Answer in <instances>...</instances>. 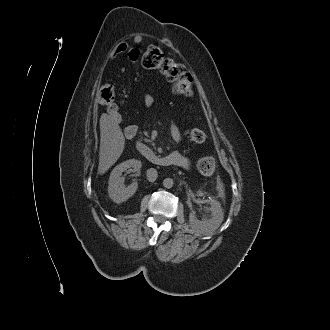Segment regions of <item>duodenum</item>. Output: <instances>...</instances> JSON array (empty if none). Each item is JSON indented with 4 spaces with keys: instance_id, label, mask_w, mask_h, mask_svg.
Listing matches in <instances>:
<instances>
[{
    "instance_id": "duodenum-1",
    "label": "duodenum",
    "mask_w": 330,
    "mask_h": 330,
    "mask_svg": "<svg viewBox=\"0 0 330 330\" xmlns=\"http://www.w3.org/2000/svg\"><path fill=\"white\" fill-rule=\"evenodd\" d=\"M136 133V129L132 132L130 127L125 130V136L128 139H133ZM138 150L140 154L150 163L158 165V166H167L170 165L166 156H161L156 154L153 150L147 147L144 144L138 145Z\"/></svg>"
}]
</instances>
